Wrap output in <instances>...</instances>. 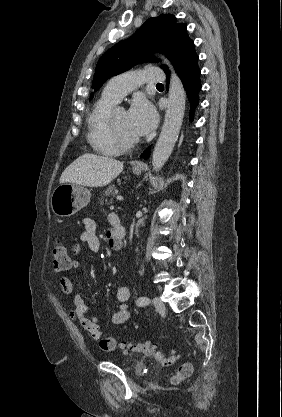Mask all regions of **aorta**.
I'll list each match as a JSON object with an SVG mask.
<instances>
[{"label":"aorta","mask_w":282,"mask_h":417,"mask_svg":"<svg viewBox=\"0 0 282 417\" xmlns=\"http://www.w3.org/2000/svg\"><path fill=\"white\" fill-rule=\"evenodd\" d=\"M171 70L168 104L164 124L152 154L153 170H160L168 160L179 136L185 112L186 92L181 78L176 74L170 60L162 56Z\"/></svg>","instance_id":"obj_1"}]
</instances>
